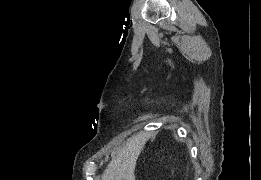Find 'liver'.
Listing matches in <instances>:
<instances>
[{"instance_id":"liver-1","label":"liver","mask_w":261,"mask_h":180,"mask_svg":"<svg viewBox=\"0 0 261 180\" xmlns=\"http://www.w3.org/2000/svg\"><path fill=\"white\" fill-rule=\"evenodd\" d=\"M144 144L145 136L142 134L129 138L109 162L101 176L102 180H135V166Z\"/></svg>"}]
</instances>
